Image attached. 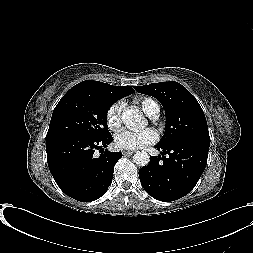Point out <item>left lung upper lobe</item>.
<instances>
[{"mask_svg":"<svg viewBox=\"0 0 253 253\" xmlns=\"http://www.w3.org/2000/svg\"><path fill=\"white\" fill-rule=\"evenodd\" d=\"M142 94L155 97L166 114V129L159 145H167L181 138H199L210 141L204 112L195 97L175 81L135 86Z\"/></svg>","mask_w":253,"mask_h":253,"instance_id":"obj_1","label":"left lung upper lobe"}]
</instances>
